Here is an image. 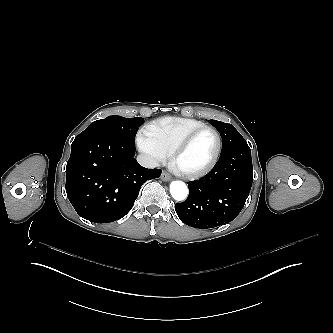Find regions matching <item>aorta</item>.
I'll return each instance as SVG.
<instances>
[{"mask_svg": "<svg viewBox=\"0 0 333 333\" xmlns=\"http://www.w3.org/2000/svg\"><path fill=\"white\" fill-rule=\"evenodd\" d=\"M170 194L177 202L185 201L189 194L188 187L182 181H174L170 185Z\"/></svg>", "mask_w": 333, "mask_h": 333, "instance_id": "aorta-1", "label": "aorta"}]
</instances>
